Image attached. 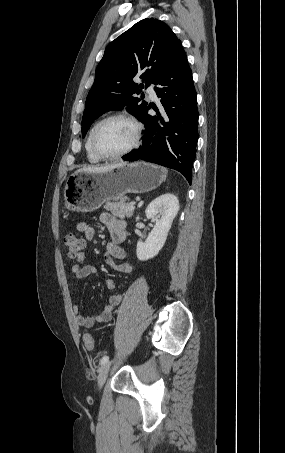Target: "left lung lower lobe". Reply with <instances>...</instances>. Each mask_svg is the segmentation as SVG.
<instances>
[{"label": "left lung lower lobe", "mask_w": 285, "mask_h": 453, "mask_svg": "<svg viewBox=\"0 0 285 453\" xmlns=\"http://www.w3.org/2000/svg\"><path fill=\"white\" fill-rule=\"evenodd\" d=\"M162 107L150 116L147 107L140 120L145 125L142 145L122 158L145 160L182 173L191 184L198 140V109L192 72L186 53L177 45L154 80Z\"/></svg>", "instance_id": "1"}]
</instances>
